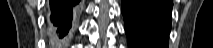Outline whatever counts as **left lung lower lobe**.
<instances>
[{
    "mask_svg": "<svg viewBox=\"0 0 213 48\" xmlns=\"http://www.w3.org/2000/svg\"><path fill=\"white\" fill-rule=\"evenodd\" d=\"M172 0H122L129 48H168Z\"/></svg>",
    "mask_w": 213,
    "mask_h": 48,
    "instance_id": "1",
    "label": "left lung lower lobe"
}]
</instances>
